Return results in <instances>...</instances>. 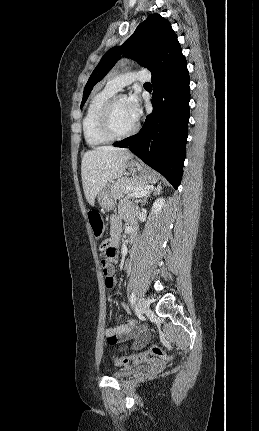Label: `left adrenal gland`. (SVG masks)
<instances>
[{"label": "left adrenal gland", "mask_w": 259, "mask_h": 431, "mask_svg": "<svg viewBox=\"0 0 259 431\" xmlns=\"http://www.w3.org/2000/svg\"><path fill=\"white\" fill-rule=\"evenodd\" d=\"M162 190L161 184L157 185L155 188H151L147 194H145L144 198L140 200L141 204L146 203L147 198L150 196V194L153 192L154 194H159Z\"/></svg>", "instance_id": "obj_1"}]
</instances>
